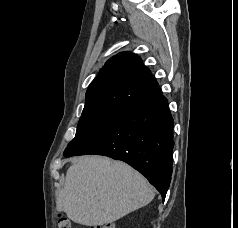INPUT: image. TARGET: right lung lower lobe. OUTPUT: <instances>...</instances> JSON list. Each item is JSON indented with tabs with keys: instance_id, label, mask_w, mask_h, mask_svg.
I'll return each instance as SVG.
<instances>
[{
	"instance_id": "obj_1",
	"label": "right lung lower lobe",
	"mask_w": 238,
	"mask_h": 228,
	"mask_svg": "<svg viewBox=\"0 0 238 228\" xmlns=\"http://www.w3.org/2000/svg\"><path fill=\"white\" fill-rule=\"evenodd\" d=\"M173 118L161 95L118 117L74 152L122 160L143 174L165 195L172 175Z\"/></svg>"
}]
</instances>
